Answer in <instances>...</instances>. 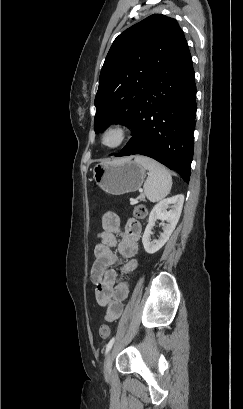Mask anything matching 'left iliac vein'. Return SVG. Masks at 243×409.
Masks as SVG:
<instances>
[{"instance_id":"1","label":"left iliac vein","mask_w":243,"mask_h":409,"mask_svg":"<svg viewBox=\"0 0 243 409\" xmlns=\"http://www.w3.org/2000/svg\"><path fill=\"white\" fill-rule=\"evenodd\" d=\"M112 374V351L108 353L104 361V375L106 379H110Z\"/></svg>"}]
</instances>
